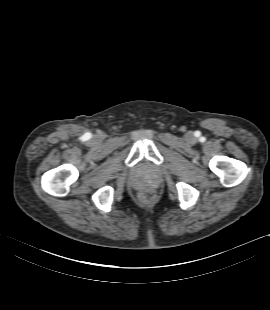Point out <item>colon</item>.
<instances>
[{"mask_svg": "<svg viewBox=\"0 0 270 310\" xmlns=\"http://www.w3.org/2000/svg\"><path fill=\"white\" fill-rule=\"evenodd\" d=\"M155 197V194L152 190L150 189H144L140 193V198L143 202H151Z\"/></svg>", "mask_w": 270, "mask_h": 310, "instance_id": "obj_1", "label": "colon"}]
</instances>
